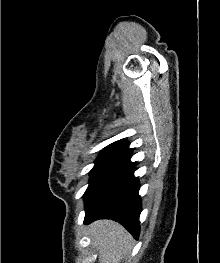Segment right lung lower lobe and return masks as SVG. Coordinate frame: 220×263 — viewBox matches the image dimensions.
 Returning <instances> with one entry per match:
<instances>
[{
    "instance_id": "obj_1",
    "label": "right lung lower lobe",
    "mask_w": 220,
    "mask_h": 263,
    "mask_svg": "<svg viewBox=\"0 0 220 263\" xmlns=\"http://www.w3.org/2000/svg\"><path fill=\"white\" fill-rule=\"evenodd\" d=\"M131 156L132 149L115 155L91 182L84 194V223L101 218L112 219L121 223L137 239L141 199Z\"/></svg>"
}]
</instances>
